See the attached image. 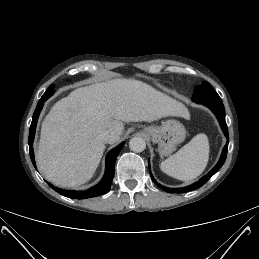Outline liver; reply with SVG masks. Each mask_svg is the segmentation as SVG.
Masks as SVG:
<instances>
[{"label": "liver", "mask_w": 259, "mask_h": 259, "mask_svg": "<svg viewBox=\"0 0 259 259\" xmlns=\"http://www.w3.org/2000/svg\"><path fill=\"white\" fill-rule=\"evenodd\" d=\"M187 117L180 102L138 80L114 79L72 91L45 117L36 154L39 170L54 185L76 187L93 177L110 133L114 144L123 122H152L162 117Z\"/></svg>", "instance_id": "1"}]
</instances>
